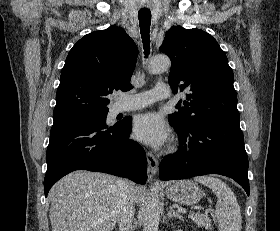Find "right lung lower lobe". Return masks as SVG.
Instances as JSON below:
<instances>
[{"mask_svg":"<svg viewBox=\"0 0 280 231\" xmlns=\"http://www.w3.org/2000/svg\"><path fill=\"white\" fill-rule=\"evenodd\" d=\"M131 122L102 128L85 123L53 125L47 148L45 196L63 176L89 170L146 183L147 160L143 148L128 139Z\"/></svg>","mask_w":280,"mask_h":231,"instance_id":"obj_1","label":"right lung lower lobe"}]
</instances>
